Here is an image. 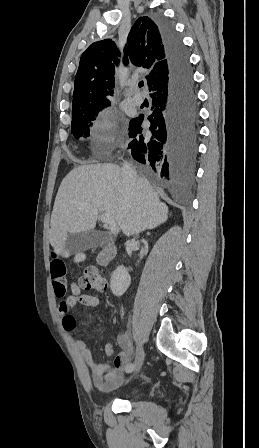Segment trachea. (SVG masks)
Here are the masks:
<instances>
[{"mask_svg": "<svg viewBox=\"0 0 259 448\" xmlns=\"http://www.w3.org/2000/svg\"><path fill=\"white\" fill-rule=\"evenodd\" d=\"M138 86L141 88L144 86V82L141 80V82L138 83Z\"/></svg>", "mask_w": 259, "mask_h": 448, "instance_id": "trachea-1", "label": "trachea"}]
</instances>
